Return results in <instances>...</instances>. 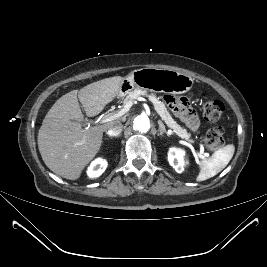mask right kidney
I'll list each match as a JSON object with an SVG mask.
<instances>
[{"mask_svg":"<svg viewBox=\"0 0 267 267\" xmlns=\"http://www.w3.org/2000/svg\"><path fill=\"white\" fill-rule=\"evenodd\" d=\"M106 167L107 162L101 158H98L94 160L88 167L87 175L90 178H97L105 171Z\"/></svg>","mask_w":267,"mask_h":267,"instance_id":"ca27d5eb","label":"right kidney"}]
</instances>
